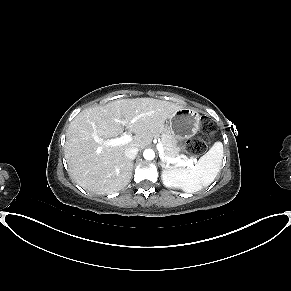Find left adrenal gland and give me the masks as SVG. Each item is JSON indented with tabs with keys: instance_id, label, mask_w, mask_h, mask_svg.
I'll use <instances>...</instances> for the list:
<instances>
[{
	"instance_id": "obj_1",
	"label": "left adrenal gland",
	"mask_w": 291,
	"mask_h": 291,
	"mask_svg": "<svg viewBox=\"0 0 291 291\" xmlns=\"http://www.w3.org/2000/svg\"><path fill=\"white\" fill-rule=\"evenodd\" d=\"M160 165H161V166H163V165H164V162H163L162 160H161V163H160Z\"/></svg>"
}]
</instances>
